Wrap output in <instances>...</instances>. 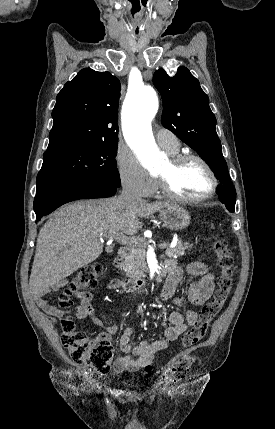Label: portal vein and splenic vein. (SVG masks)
<instances>
[{
  "instance_id": "portal-vein-and-splenic-vein-1",
  "label": "portal vein and splenic vein",
  "mask_w": 275,
  "mask_h": 429,
  "mask_svg": "<svg viewBox=\"0 0 275 429\" xmlns=\"http://www.w3.org/2000/svg\"><path fill=\"white\" fill-rule=\"evenodd\" d=\"M113 240H116L117 242L124 244V245H134V244H137L138 242L142 241L141 239H137L134 237H128L124 234H116V235L111 236L109 238V241H113ZM158 247L164 248V247H167V244L161 243L158 245ZM170 247H172V246H170Z\"/></svg>"
}]
</instances>
